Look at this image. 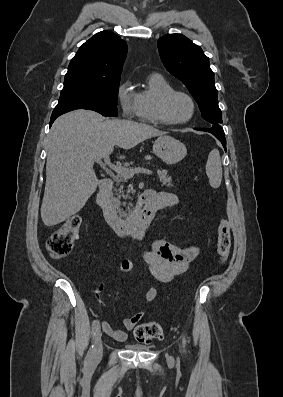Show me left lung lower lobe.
<instances>
[{"mask_svg": "<svg viewBox=\"0 0 283 397\" xmlns=\"http://www.w3.org/2000/svg\"><path fill=\"white\" fill-rule=\"evenodd\" d=\"M196 130H200V131H206V132H210L212 133L218 140H220V142L222 143L225 151H226V139L224 137V134L213 131L211 128H196Z\"/></svg>", "mask_w": 283, "mask_h": 397, "instance_id": "0a47b994", "label": "left lung lower lobe"}]
</instances>
